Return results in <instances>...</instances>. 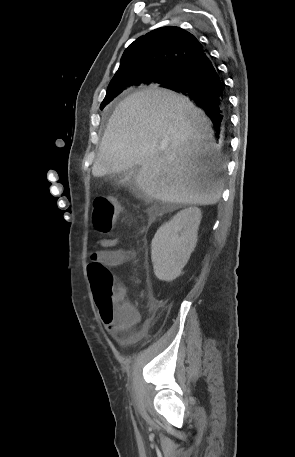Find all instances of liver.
I'll return each instance as SVG.
<instances>
[{
  "instance_id": "1",
  "label": "liver",
  "mask_w": 295,
  "mask_h": 457,
  "mask_svg": "<svg viewBox=\"0 0 295 457\" xmlns=\"http://www.w3.org/2000/svg\"><path fill=\"white\" fill-rule=\"evenodd\" d=\"M205 113L184 96L148 89L123 99L111 115L94 177L138 165L137 187L166 203L212 205L222 194L223 168Z\"/></svg>"
}]
</instances>
